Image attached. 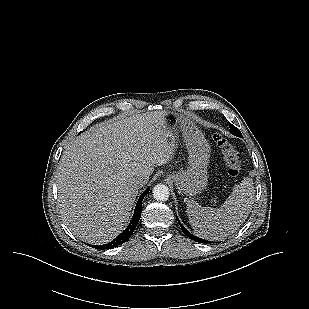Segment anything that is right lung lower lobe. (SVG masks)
Here are the masks:
<instances>
[{
  "label": "right lung lower lobe",
  "instance_id": "1",
  "mask_svg": "<svg viewBox=\"0 0 309 309\" xmlns=\"http://www.w3.org/2000/svg\"><path fill=\"white\" fill-rule=\"evenodd\" d=\"M150 191V189H146L142 195L139 197L137 205L135 207V211H134V215L133 218L131 220V222L129 223V225L127 226V228L120 234L118 235L117 238H115L113 241L102 245V246H93L94 248H99V249H110V248H114L117 247L123 243H125L126 241H128V239L130 238V236L132 235V233L134 232L140 217H141V211H142V200L144 198V196Z\"/></svg>",
  "mask_w": 309,
  "mask_h": 309
}]
</instances>
